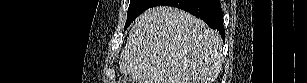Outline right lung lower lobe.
<instances>
[{
  "label": "right lung lower lobe",
  "instance_id": "right-lung-lower-lobe-1",
  "mask_svg": "<svg viewBox=\"0 0 307 83\" xmlns=\"http://www.w3.org/2000/svg\"><path fill=\"white\" fill-rule=\"evenodd\" d=\"M169 5L185 10L201 18L212 29H217L225 38L223 28V12L219 0H153L151 7Z\"/></svg>",
  "mask_w": 307,
  "mask_h": 83
}]
</instances>
